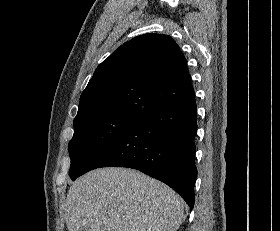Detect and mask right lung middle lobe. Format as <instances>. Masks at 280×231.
I'll list each match as a JSON object with an SVG mask.
<instances>
[{
  "label": "right lung middle lobe",
  "instance_id": "1",
  "mask_svg": "<svg viewBox=\"0 0 280 231\" xmlns=\"http://www.w3.org/2000/svg\"><path fill=\"white\" fill-rule=\"evenodd\" d=\"M139 121L129 117L74 120V134L68 145L70 178L75 180L110 144Z\"/></svg>",
  "mask_w": 280,
  "mask_h": 231
}]
</instances>
